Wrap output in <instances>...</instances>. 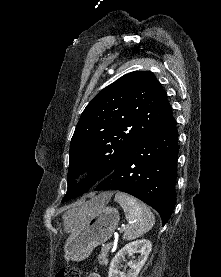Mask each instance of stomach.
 Returning <instances> with one entry per match:
<instances>
[{
    "label": "stomach",
    "instance_id": "obj_1",
    "mask_svg": "<svg viewBox=\"0 0 221 277\" xmlns=\"http://www.w3.org/2000/svg\"><path fill=\"white\" fill-rule=\"evenodd\" d=\"M119 220L116 208L98 204L95 198L77 208L67 224L69 236L64 245L67 259L81 261L87 258L95 247L112 236Z\"/></svg>",
    "mask_w": 221,
    "mask_h": 277
}]
</instances>
